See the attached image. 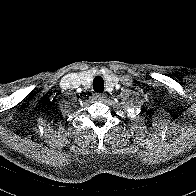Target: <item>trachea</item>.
<instances>
[{"mask_svg":"<svg viewBox=\"0 0 196 196\" xmlns=\"http://www.w3.org/2000/svg\"><path fill=\"white\" fill-rule=\"evenodd\" d=\"M93 89L97 93L104 91V80L101 76H96L93 80Z\"/></svg>","mask_w":196,"mask_h":196,"instance_id":"3493384b","label":"trachea"}]
</instances>
